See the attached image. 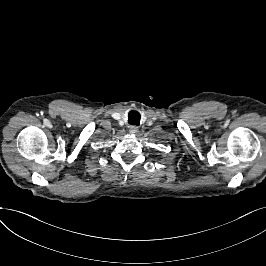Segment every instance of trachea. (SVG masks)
Here are the masks:
<instances>
[{
    "mask_svg": "<svg viewBox=\"0 0 266 266\" xmlns=\"http://www.w3.org/2000/svg\"><path fill=\"white\" fill-rule=\"evenodd\" d=\"M128 123L139 125L140 123V113L137 111H130L128 113Z\"/></svg>",
    "mask_w": 266,
    "mask_h": 266,
    "instance_id": "trachea-1",
    "label": "trachea"
}]
</instances>
